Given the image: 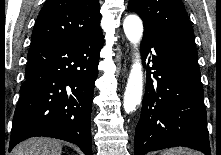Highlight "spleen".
Listing matches in <instances>:
<instances>
[{
  "label": "spleen",
  "instance_id": "1",
  "mask_svg": "<svg viewBox=\"0 0 221 155\" xmlns=\"http://www.w3.org/2000/svg\"><path fill=\"white\" fill-rule=\"evenodd\" d=\"M161 155H198V153L188 148H172L164 151Z\"/></svg>",
  "mask_w": 221,
  "mask_h": 155
}]
</instances>
